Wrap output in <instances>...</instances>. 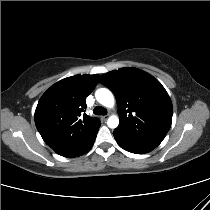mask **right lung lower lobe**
<instances>
[{
    "label": "right lung lower lobe",
    "mask_w": 210,
    "mask_h": 210,
    "mask_svg": "<svg viewBox=\"0 0 210 210\" xmlns=\"http://www.w3.org/2000/svg\"><path fill=\"white\" fill-rule=\"evenodd\" d=\"M95 138L90 143H88L86 146H84L82 149L78 150L76 153L71 155L69 158L77 157V156L83 155L86 152H88L91 149V147L93 146Z\"/></svg>",
    "instance_id": "obj_1"
}]
</instances>
